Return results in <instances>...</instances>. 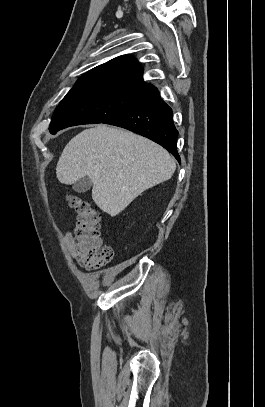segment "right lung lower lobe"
Listing matches in <instances>:
<instances>
[{
    "mask_svg": "<svg viewBox=\"0 0 265 407\" xmlns=\"http://www.w3.org/2000/svg\"><path fill=\"white\" fill-rule=\"evenodd\" d=\"M104 123L153 140L172 153L180 163L176 147L178 131L172 120V109L161 99L158 90L140 104Z\"/></svg>",
    "mask_w": 265,
    "mask_h": 407,
    "instance_id": "obj_1",
    "label": "right lung lower lobe"
}]
</instances>
